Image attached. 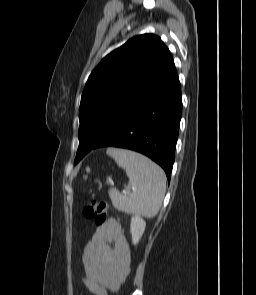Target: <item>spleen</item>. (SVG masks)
<instances>
[{
  "mask_svg": "<svg viewBox=\"0 0 256 295\" xmlns=\"http://www.w3.org/2000/svg\"><path fill=\"white\" fill-rule=\"evenodd\" d=\"M107 154L126 171L132 187L128 195L110 189L113 206L120 211L147 218L156 216L166 192V175L162 168L142 154L130 150L108 148Z\"/></svg>",
  "mask_w": 256,
  "mask_h": 295,
  "instance_id": "1",
  "label": "spleen"
}]
</instances>
